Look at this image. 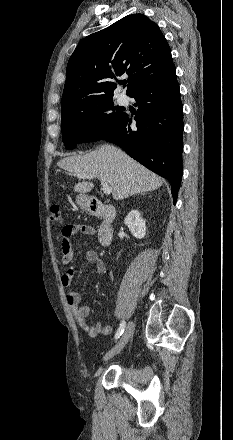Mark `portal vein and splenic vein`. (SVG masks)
<instances>
[{
    "label": "portal vein and splenic vein",
    "instance_id": "1",
    "mask_svg": "<svg viewBox=\"0 0 233 440\" xmlns=\"http://www.w3.org/2000/svg\"><path fill=\"white\" fill-rule=\"evenodd\" d=\"M78 176L80 178H85V179H93L94 177H96L94 175L86 174V173L79 174ZM99 179L101 181L102 190H103L104 194L109 195L112 192V187L109 186V184L105 181V179H102V178H99Z\"/></svg>",
    "mask_w": 233,
    "mask_h": 440
}]
</instances>
